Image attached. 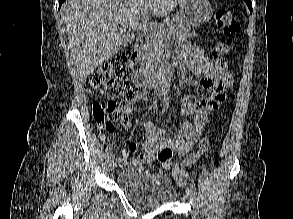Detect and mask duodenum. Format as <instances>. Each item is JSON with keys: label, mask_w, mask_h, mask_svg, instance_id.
I'll return each mask as SVG.
<instances>
[{"label": "duodenum", "mask_w": 293, "mask_h": 219, "mask_svg": "<svg viewBox=\"0 0 293 219\" xmlns=\"http://www.w3.org/2000/svg\"><path fill=\"white\" fill-rule=\"evenodd\" d=\"M145 41V34L143 32L138 33L136 42L134 44V51L136 54H140ZM173 66L169 64H163L158 66L155 70L148 67L137 70L132 76L133 84L138 88H147L153 85L164 84L173 75Z\"/></svg>", "instance_id": "1"}]
</instances>
